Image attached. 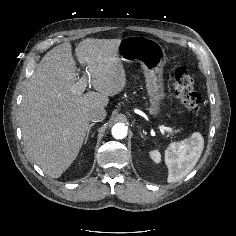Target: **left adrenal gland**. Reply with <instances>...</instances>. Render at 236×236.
<instances>
[{
  "label": "left adrenal gland",
  "mask_w": 236,
  "mask_h": 236,
  "mask_svg": "<svg viewBox=\"0 0 236 236\" xmlns=\"http://www.w3.org/2000/svg\"><path fill=\"white\" fill-rule=\"evenodd\" d=\"M140 134H141V137H142V138H144V136H143L142 132H140ZM144 139H146V138H144Z\"/></svg>",
  "instance_id": "1"
}]
</instances>
